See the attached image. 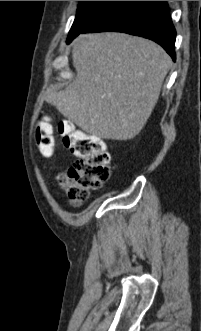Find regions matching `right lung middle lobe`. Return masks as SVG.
Listing matches in <instances>:
<instances>
[{
  "mask_svg": "<svg viewBox=\"0 0 201 331\" xmlns=\"http://www.w3.org/2000/svg\"><path fill=\"white\" fill-rule=\"evenodd\" d=\"M115 1H81L67 43L98 18Z\"/></svg>",
  "mask_w": 201,
  "mask_h": 331,
  "instance_id": "dd1d6c3e",
  "label": "right lung middle lobe"
}]
</instances>
